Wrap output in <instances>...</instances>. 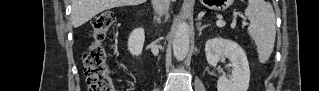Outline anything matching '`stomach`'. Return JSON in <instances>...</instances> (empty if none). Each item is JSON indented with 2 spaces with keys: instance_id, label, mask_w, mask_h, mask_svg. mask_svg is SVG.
<instances>
[{
  "instance_id": "1",
  "label": "stomach",
  "mask_w": 319,
  "mask_h": 91,
  "mask_svg": "<svg viewBox=\"0 0 319 91\" xmlns=\"http://www.w3.org/2000/svg\"><path fill=\"white\" fill-rule=\"evenodd\" d=\"M205 4L207 6H210V8L219 9V10L226 7V1H222V0L211 1V2L205 1Z\"/></svg>"
}]
</instances>
